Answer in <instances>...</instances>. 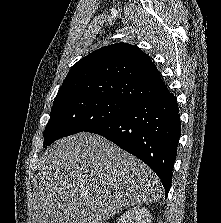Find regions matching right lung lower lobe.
<instances>
[{"label": "right lung lower lobe", "mask_w": 221, "mask_h": 223, "mask_svg": "<svg viewBox=\"0 0 221 223\" xmlns=\"http://www.w3.org/2000/svg\"><path fill=\"white\" fill-rule=\"evenodd\" d=\"M86 132L112 141L150 166L167 197L181 135L179 108L169 91L134 104L127 111Z\"/></svg>", "instance_id": "obj_1"}]
</instances>
